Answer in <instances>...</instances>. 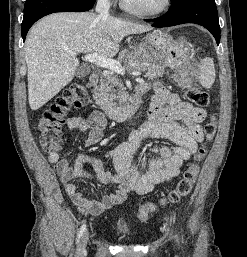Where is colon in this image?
I'll use <instances>...</instances> for the list:
<instances>
[{
	"label": "colon",
	"instance_id": "1",
	"mask_svg": "<svg viewBox=\"0 0 247 257\" xmlns=\"http://www.w3.org/2000/svg\"><path fill=\"white\" fill-rule=\"evenodd\" d=\"M186 97L198 107H204L209 102L208 94L197 87L189 88L186 91ZM88 102V86L83 83H74L56 98L49 109L43 112L38 122V132L40 145L46 153H52L60 149L62 126L66 115L73 109L84 107ZM204 133L206 141L195 155V162L184 171L177 185L160 201L162 205L178 203L190 193L198 176L199 163L206 155L208 143L216 133L215 118H211L205 124ZM155 210L156 204L146 202L139 208L137 218L141 222H146Z\"/></svg>",
	"mask_w": 247,
	"mask_h": 257
}]
</instances>
